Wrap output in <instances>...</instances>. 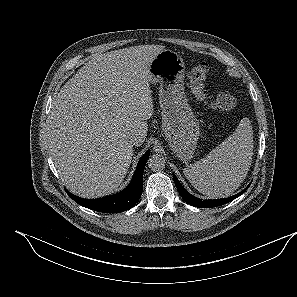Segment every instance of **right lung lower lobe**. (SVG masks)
<instances>
[{
	"mask_svg": "<svg viewBox=\"0 0 297 297\" xmlns=\"http://www.w3.org/2000/svg\"><path fill=\"white\" fill-rule=\"evenodd\" d=\"M148 158L149 152H146L140 159L129 186L118 194L100 199H83L67 190L66 192L78 204L91 210L104 213H119L128 210L138 202L142 195L143 171Z\"/></svg>",
	"mask_w": 297,
	"mask_h": 297,
	"instance_id": "right-lung-lower-lobe-1",
	"label": "right lung lower lobe"
}]
</instances>
